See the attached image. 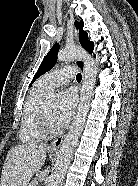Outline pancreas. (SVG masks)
<instances>
[{
    "instance_id": "pancreas-1",
    "label": "pancreas",
    "mask_w": 138,
    "mask_h": 186,
    "mask_svg": "<svg viewBox=\"0 0 138 186\" xmlns=\"http://www.w3.org/2000/svg\"><path fill=\"white\" fill-rule=\"evenodd\" d=\"M28 186H38L37 180H33Z\"/></svg>"
}]
</instances>
